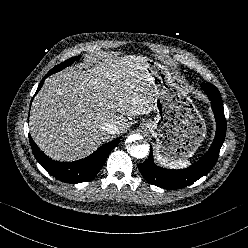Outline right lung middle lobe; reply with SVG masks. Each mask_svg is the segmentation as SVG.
Instances as JSON below:
<instances>
[{"label":"right lung middle lobe","instance_id":"obj_1","mask_svg":"<svg viewBox=\"0 0 248 248\" xmlns=\"http://www.w3.org/2000/svg\"><path fill=\"white\" fill-rule=\"evenodd\" d=\"M79 59V56L77 57H73V58H69L68 60L62 62L61 64H58L57 66H55L52 71L53 72H58L62 69H64L65 67L71 65L75 60Z\"/></svg>","mask_w":248,"mask_h":248}]
</instances>
